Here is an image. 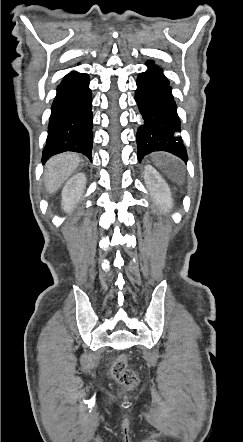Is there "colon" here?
Wrapping results in <instances>:
<instances>
[{
  "instance_id": "obj_1",
  "label": "colon",
  "mask_w": 243,
  "mask_h": 442,
  "mask_svg": "<svg viewBox=\"0 0 243 442\" xmlns=\"http://www.w3.org/2000/svg\"><path fill=\"white\" fill-rule=\"evenodd\" d=\"M114 378L127 389H132L138 384V376L128 368V355L120 354L111 368Z\"/></svg>"
}]
</instances>
